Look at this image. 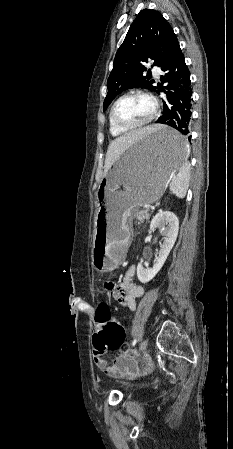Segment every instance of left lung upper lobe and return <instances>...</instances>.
<instances>
[{"instance_id": "1", "label": "left lung upper lobe", "mask_w": 233, "mask_h": 449, "mask_svg": "<svg viewBox=\"0 0 233 449\" xmlns=\"http://www.w3.org/2000/svg\"><path fill=\"white\" fill-rule=\"evenodd\" d=\"M179 48L177 36L161 13L151 9L141 10L116 53L107 81L108 93L103 110L120 92L129 88L142 87L155 91L153 81L143 75L147 69L142 62L153 59L154 65L161 68Z\"/></svg>"}]
</instances>
